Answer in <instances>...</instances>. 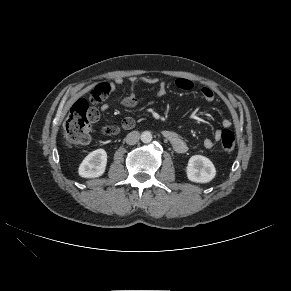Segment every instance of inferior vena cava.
<instances>
[{
  "label": "inferior vena cava",
  "instance_id": "602c4592",
  "mask_svg": "<svg viewBox=\"0 0 291 291\" xmlns=\"http://www.w3.org/2000/svg\"><path fill=\"white\" fill-rule=\"evenodd\" d=\"M139 138L140 133L138 131H132L126 136L125 141L129 145H134L139 141Z\"/></svg>",
  "mask_w": 291,
  "mask_h": 291
}]
</instances>
